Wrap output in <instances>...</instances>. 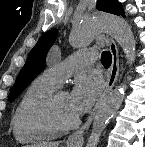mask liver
Returning a JSON list of instances; mask_svg holds the SVG:
<instances>
[{"mask_svg":"<svg viewBox=\"0 0 145 147\" xmlns=\"http://www.w3.org/2000/svg\"><path fill=\"white\" fill-rule=\"evenodd\" d=\"M28 147H59V142H41L39 144Z\"/></svg>","mask_w":145,"mask_h":147,"instance_id":"6515ba94","label":"liver"}]
</instances>
